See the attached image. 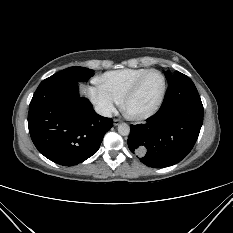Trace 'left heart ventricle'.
I'll use <instances>...</instances> for the list:
<instances>
[{
	"mask_svg": "<svg viewBox=\"0 0 233 233\" xmlns=\"http://www.w3.org/2000/svg\"><path fill=\"white\" fill-rule=\"evenodd\" d=\"M162 89V78L158 73H150L143 80L137 93L129 100L128 109L133 113H143L157 102Z\"/></svg>",
	"mask_w": 233,
	"mask_h": 233,
	"instance_id": "1",
	"label": "left heart ventricle"
}]
</instances>
